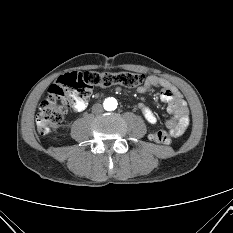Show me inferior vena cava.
Masks as SVG:
<instances>
[{
	"label": "inferior vena cava",
	"instance_id": "obj_1",
	"mask_svg": "<svg viewBox=\"0 0 233 233\" xmlns=\"http://www.w3.org/2000/svg\"><path fill=\"white\" fill-rule=\"evenodd\" d=\"M92 112L96 113V114L102 113L103 112L102 105L99 104V103L94 104L93 107H92Z\"/></svg>",
	"mask_w": 233,
	"mask_h": 233
}]
</instances>
